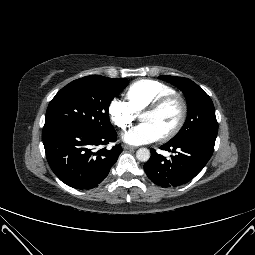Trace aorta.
Segmentation results:
<instances>
[{
    "label": "aorta",
    "instance_id": "aorta-1",
    "mask_svg": "<svg viewBox=\"0 0 255 255\" xmlns=\"http://www.w3.org/2000/svg\"><path fill=\"white\" fill-rule=\"evenodd\" d=\"M151 153L147 148H140L136 152V157L141 162H147L150 159Z\"/></svg>",
    "mask_w": 255,
    "mask_h": 255
}]
</instances>
